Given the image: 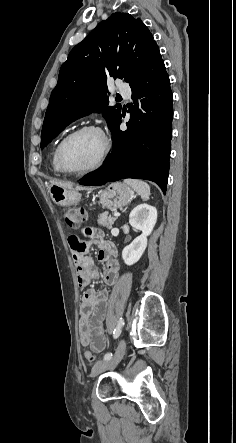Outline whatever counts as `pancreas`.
<instances>
[{"instance_id":"pancreas-1","label":"pancreas","mask_w":236,"mask_h":443,"mask_svg":"<svg viewBox=\"0 0 236 443\" xmlns=\"http://www.w3.org/2000/svg\"><path fill=\"white\" fill-rule=\"evenodd\" d=\"M116 219V217L108 216L107 213H102L99 215L97 222L100 227L111 229Z\"/></svg>"}]
</instances>
